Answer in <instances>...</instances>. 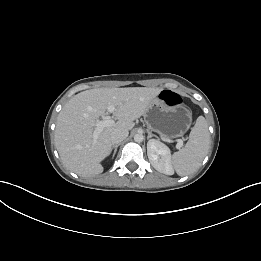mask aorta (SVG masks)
I'll return each instance as SVG.
<instances>
[{
	"instance_id": "1",
	"label": "aorta",
	"mask_w": 261,
	"mask_h": 261,
	"mask_svg": "<svg viewBox=\"0 0 261 261\" xmlns=\"http://www.w3.org/2000/svg\"><path fill=\"white\" fill-rule=\"evenodd\" d=\"M143 140H144L143 134L137 133V134L134 135V141H135V142L140 143V142H142Z\"/></svg>"
}]
</instances>
